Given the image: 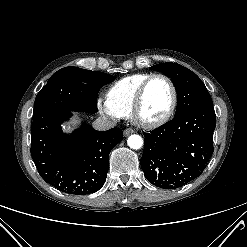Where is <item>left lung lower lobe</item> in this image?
<instances>
[{
	"label": "left lung lower lobe",
	"instance_id": "left-lung-lower-lobe-1",
	"mask_svg": "<svg viewBox=\"0 0 247 247\" xmlns=\"http://www.w3.org/2000/svg\"><path fill=\"white\" fill-rule=\"evenodd\" d=\"M216 116L213 106L188 110L144 133L141 167L153 185L181 187L201 175L213 149Z\"/></svg>",
	"mask_w": 247,
	"mask_h": 247
}]
</instances>
